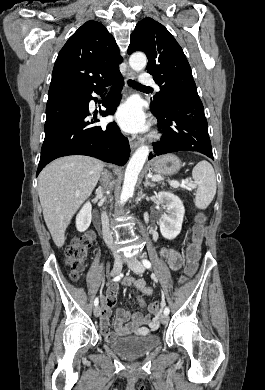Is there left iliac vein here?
<instances>
[{"label":"left iliac vein","instance_id":"left-iliac-vein-1","mask_svg":"<svg viewBox=\"0 0 265 390\" xmlns=\"http://www.w3.org/2000/svg\"><path fill=\"white\" fill-rule=\"evenodd\" d=\"M127 264L132 269V271L137 273V274H142L145 271V267L143 266V264L139 260H137L135 257L130 259L127 262ZM168 320H169L168 315L162 314L160 316V321L162 324H167Z\"/></svg>","mask_w":265,"mask_h":390}]
</instances>
